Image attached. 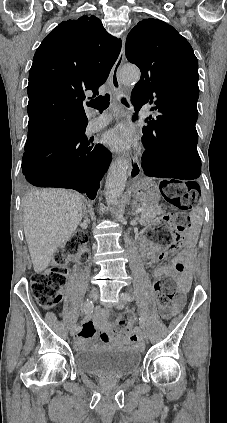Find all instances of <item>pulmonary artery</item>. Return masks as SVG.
Listing matches in <instances>:
<instances>
[{
    "mask_svg": "<svg viewBox=\"0 0 227 423\" xmlns=\"http://www.w3.org/2000/svg\"><path fill=\"white\" fill-rule=\"evenodd\" d=\"M112 121V115L110 113H104L90 120V129L99 130L107 126Z\"/></svg>",
    "mask_w": 227,
    "mask_h": 423,
    "instance_id": "e3ab8cb5",
    "label": "pulmonary artery"
}]
</instances>
